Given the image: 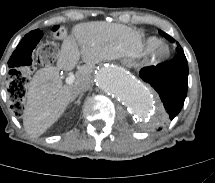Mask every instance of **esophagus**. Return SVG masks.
Wrapping results in <instances>:
<instances>
[{
  "mask_svg": "<svg viewBox=\"0 0 215 183\" xmlns=\"http://www.w3.org/2000/svg\"><path fill=\"white\" fill-rule=\"evenodd\" d=\"M125 64L128 65L129 64L128 61H125Z\"/></svg>",
  "mask_w": 215,
  "mask_h": 183,
  "instance_id": "obj_1",
  "label": "esophagus"
}]
</instances>
